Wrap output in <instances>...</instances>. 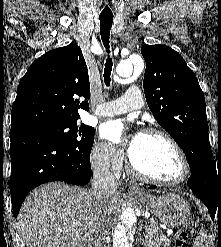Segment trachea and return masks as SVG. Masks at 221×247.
I'll use <instances>...</instances> for the list:
<instances>
[{
    "label": "trachea",
    "mask_w": 221,
    "mask_h": 247,
    "mask_svg": "<svg viewBox=\"0 0 221 247\" xmlns=\"http://www.w3.org/2000/svg\"><path fill=\"white\" fill-rule=\"evenodd\" d=\"M100 20V34L103 41V44L105 48L107 49V52L109 53V38H110V30L113 23V15H107V14H100L99 16ZM112 59L110 57L107 58L105 63V69H104V82L105 85L108 87L110 86L111 82V71H112Z\"/></svg>",
    "instance_id": "3493384b"
}]
</instances>
